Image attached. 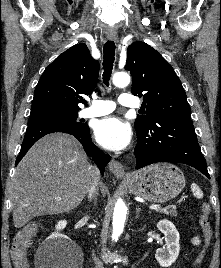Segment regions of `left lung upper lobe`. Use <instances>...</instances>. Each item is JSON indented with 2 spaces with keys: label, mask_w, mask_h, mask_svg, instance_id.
Returning a JSON list of instances; mask_svg holds the SVG:
<instances>
[{
  "label": "left lung upper lobe",
  "mask_w": 221,
  "mask_h": 268,
  "mask_svg": "<svg viewBox=\"0 0 221 268\" xmlns=\"http://www.w3.org/2000/svg\"><path fill=\"white\" fill-rule=\"evenodd\" d=\"M125 68L131 72L132 94L143 97L144 115L135 120L136 132L160 116L191 117L186 93L174 69L148 44L137 41L127 49Z\"/></svg>",
  "instance_id": "left-lung-upper-lobe-1"
}]
</instances>
